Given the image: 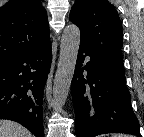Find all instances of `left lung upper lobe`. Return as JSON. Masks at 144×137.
Masks as SVG:
<instances>
[{
  "label": "left lung upper lobe",
  "mask_w": 144,
  "mask_h": 137,
  "mask_svg": "<svg viewBox=\"0 0 144 137\" xmlns=\"http://www.w3.org/2000/svg\"><path fill=\"white\" fill-rule=\"evenodd\" d=\"M69 19L80 28L81 45L123 65L122 24L111 3L107 0H76Z\"/></svg>",
  "instance_id": "left-lung-upper-lobe-1"
}]
</instances>
